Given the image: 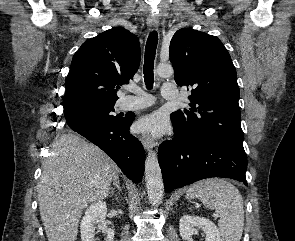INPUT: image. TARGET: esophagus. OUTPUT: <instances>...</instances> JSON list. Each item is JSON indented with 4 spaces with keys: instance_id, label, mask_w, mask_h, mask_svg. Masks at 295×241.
<instances>
[{
    "instance_id": "esophagus-1",
    "label": "esophagus",
    "mask_w": 295,
    "mask_h": 241,
    "mask_svg": "<svg viewBox=\"0 0 295 241\" xmlns=\"http://www.w3.org/2000/svg\"><path fill=\"white\" fill-rule=\"evenodd\" d=\"M147 25L150 30H155L159 26V21L156 19L150 18L147 20ZM141 141L144 148L147 150L157 146V143L153 139L149 138L148 136H142Z\"/></svg>"
}]
</instances>
